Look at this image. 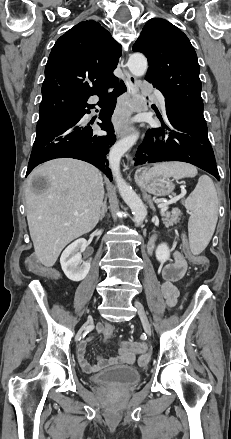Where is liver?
Masks as SVG:
<instances>
[{
    "mask_svg": "<svg viewBox=\"0 0 231 439\" xmlns=\"http://www.w3.org/2000/svg\"><path fill=\"white\" fill-rule=\"evenodd\" d=\"M38 176L49 183L41 193L31 188ZM103 197L101 172L84 161L54 159L32 171L25 192L27 221L35 254L45 267L55 264L67 244L95 228Z\"/></svg>",
    "mask_w": 231,
    "mask_h": 439,
    "instance_id": "liver-1",
    "label": "liver"
}]
</instances>
